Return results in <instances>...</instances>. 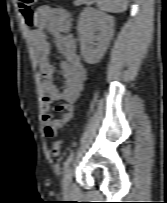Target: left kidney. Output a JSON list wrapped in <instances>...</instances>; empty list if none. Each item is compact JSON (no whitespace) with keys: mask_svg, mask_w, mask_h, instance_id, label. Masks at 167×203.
Instances as JSON below:
<instances>
[{"mask_svg":"<svg viewBox=\"0 0 167 203\" xmlns=\"http://www.w3.org/2000/svg\"><path fill=\"white\" fill-rule=\"evenodd\" d=\"M99 32L98 36L94 34ZM114 32V19L101 11L86 8L78 23L81 54L88 64H96L103 57ZM97 42V43H95Z\"/></svg>","mask_w":167,"mask_h":203,"instance_id":"5707ae66","label":"left kidney"}]
</instances>
